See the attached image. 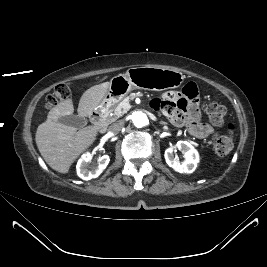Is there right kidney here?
Returning <instances> with one entry per match:
<instances>
[{
    "mask_svg": "<svg viewBox=\"0 0 267 267\" xmlns=\"http://www.w3.org/2000/svg\"><path fill=\"white\" fill-rule=\"evenodd\" d=\"M92 160V156L89 152H86L81 156L78 160L76 169L77 174L83 180H90L93 178H97L107 167L110 158L108 155H103L99 157L96 165H93L91 169L88 168V163Z\"/></svg>",
    "mask_w": 267,
    "mask_h": 267,
    "instance_id": "1",
    "label": "right kidney"
}]
</instances>
